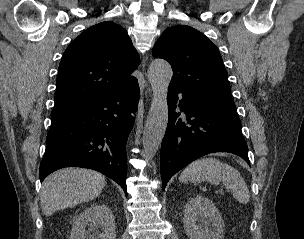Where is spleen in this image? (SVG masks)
I'll return each mask as SVG.
<instances>
[{
  "instance_id": "1",
  "label": "spleen",
  "mask_w": 304,
  "mask_h": 239,
  "mask_svg": "<svg viewBox=\"0 0 304 239\" xmlns=\"http://www.w3.org/2000/svg\"><path fill=\"white\" fill-rule=\"evenodd\" d=\"M179 179L182 182L192 183L204 181L215 185L222 183L242 204L248 203L250 198L249 189L239 171L215 158H202L192 162L183 170Z\"/></svg>"
}]
</instances>
